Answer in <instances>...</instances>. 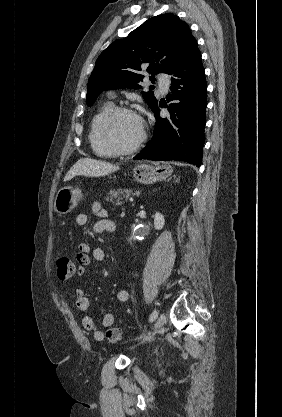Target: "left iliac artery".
<instances>
[{
	"label": "left iliac artery",
	"mask_w": 282,
	"mask_h": 417,
	"mask_svg": "<svg viewBox=\"0 0 282 417\" xmlns=\"http://www.w3.org/2000/svg\"><path fill=\"white\" fill-rule=\"evenodd\" d=\"M157 315H158L157 311H154V312L151 314V316H150V318H149V321H150V322L154 321V320L156 319Z\"/></svg>",
	"instance_id": "left-iliac-artery-1"
}]
</instances>
